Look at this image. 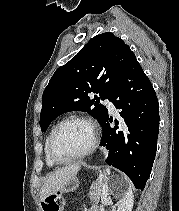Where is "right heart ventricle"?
Here are the masks:
<instances>
[{
    "label": "right heart ventricle",
    "mask_w": 179,
    "mask_h": 211,
    "mask_svg": "<svg viewBox=\"0 0 179 211\" xmlns=\"http://www.w3.org/2000/svg\"><path fill=\"white\" fill-rule=\"evenodd\" d=\"M55 127H56V125H54V126L50 129V131H49V133H48V135H47V137H46L45 146H44L45 161H46L47 166L50 167V168H52V167H54V166L56 165V164L50 159L49 154H48V143H49L51 134H52L53 130L55 129Z\"/></svg>",
    "instance_id": "right-heart-ventricle-1"
}]
</instances>
